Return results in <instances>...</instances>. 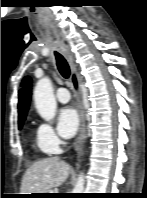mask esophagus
Returning a JSON list of instances; mask_svg holds the SVG:
<instances>
[{
  "instance_id": "34e87169",
  "label": "esophagus",
  "mask_w": 147,
  "mask_h": 198,
  "mask_svg": "<svg viewBox=\"0 0 147 198\" xmlns=\"http://www.w3.org/2000/svg\"><path fill=\"white\" fill-rule=\"evenodd\" d=\"M66 55L70 61L71 65V73H72V85L74 88V92L79 101V113H80V132L77 138L76 147L77 150L80 151L83 147V144L86 140V121H85V113L81 102V89H80V82L78 78V71L76 65L73 63L71 56L66 52Z\"/></svg>"
}]
</instances>
